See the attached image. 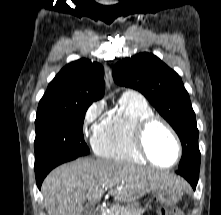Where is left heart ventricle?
I'll list each match as a JSON object with an SVG mask.
<instances>
[{
	"mask_svg": "<svg viewBox=\"0 0 221 215\" xmlns=\"http://www.w3.org/2000/svg\"><path fill=\"white\" fill-rule=\"evenodd\" d=\"M146 147L155 162L170 165L176 159V145L169 132L160 124H154L146 135Z\"/></svg>",
	"mask_w": 221,
	"mask_h": 215,
	"instance_id": "obj_1",
	"label": "left heart ventricle"
}]
</instances>
